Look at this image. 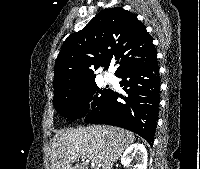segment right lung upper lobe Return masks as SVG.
Returning a JSON list of instances; mask_svg holds the SVG:
<instances>
[{
  "label": "right lung upper lobe",
  "mask_w": 200,
  "mask_h": 169,
  "mask_svg": "<svg viewBox=\"0 0 200 169\" xmlns=\"http://www.w3.org/2000/svg\"><path fill=\"white\" fill-rule=\"evenodd\" d=\"M156 57L152 38L137 16L121 7L98 13L64 42L54 70V98L77 91L95 80L94 70L119 64L115 75Z\"/></svg>",
  "instance_id": "obj_1"
}]
</instances>
